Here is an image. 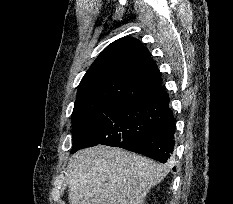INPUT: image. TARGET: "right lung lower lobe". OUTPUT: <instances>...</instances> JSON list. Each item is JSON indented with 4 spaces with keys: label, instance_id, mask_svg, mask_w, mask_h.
<instances>
[{
    "label": "right lung lower lobe",
    "instance_id": "1",
    "mask_svg": "<svg viewBox=\"0 0 233 204\" xmlns=\"http://www.w3.org/2000/svg\"><path fill=\"white\" fill-rule=\"evenodd\" d=\"M152 104L164 118L165 124L158 130L127 141H121L116 147L140 153L162 163L167 162L174 150L175 120L169 108V97L165 92L152 99ZM90 145H80L72 152Z\"/></svg>",
    "mask_w": 233,
    "mask_h": 204
}]
</instances>
